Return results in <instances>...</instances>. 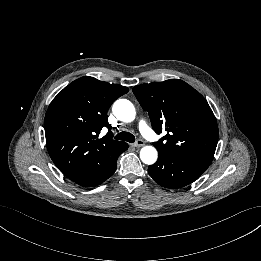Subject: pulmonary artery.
Wrapping results in <instances>:
<instances>
[{
	"label": "pulmonary artery",
	"instance_id": "obj_1",
	"mask_svg": "<svg viewBox=\"0 0 261 261\" xmlns=\"http://www.w3.org/2000/svg\"><path fill=\"white\" fill-rule=\"evenodd\" d=\"M137 126L141 132V134L143 135V137L148 138L149 137V127L147 124V120L145 117H139L138 121H137Z\"/></svg>",
	"mask_w": 261,
	"mask_h": 261
}]
</instances>
